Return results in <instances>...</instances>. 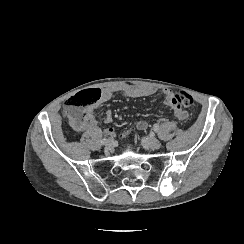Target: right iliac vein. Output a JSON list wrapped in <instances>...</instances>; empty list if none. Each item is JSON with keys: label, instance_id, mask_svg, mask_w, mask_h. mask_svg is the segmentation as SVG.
Instances as JSON below:
<instances>
[{"label": "right iliac vein", "instance_id": "63e3f726", "mask_svg": "<svg viewBox=\"0 0 244 244\" xmlns=\"http://www.w3.org/2000/svg\"><path fill=\"white\" fill-rule=\"evenodd\" d=\"M114 141L112 139H108L105 143V149L109 150L111 147H113Z\"/></svg>", "mask_w": 244, "mask_h": 244}]
</instances>
